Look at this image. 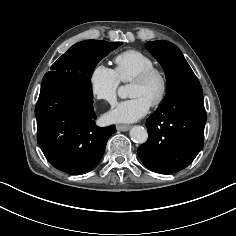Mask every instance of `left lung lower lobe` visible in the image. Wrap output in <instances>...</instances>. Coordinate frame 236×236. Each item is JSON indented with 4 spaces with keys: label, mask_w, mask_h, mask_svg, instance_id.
<instances>
[{
    "label": "left lung lower lobe",
    "mask_w": 236,
    "mask_h": 236,
    "mask_svg": "<svg viewBox=\"0 0 236 236\" xmlns=\"http://www.w3.org/2000/svg\"><path fill=\"white\" fill-rule=\"evenodd\" d=\"M206 119L200 83L177 89L146 120L148 140L138 148L143 164L162 174L186 168L204 145Z\"/></svg>",
    "instance_id": "0a47b994"
}]
</instances>
